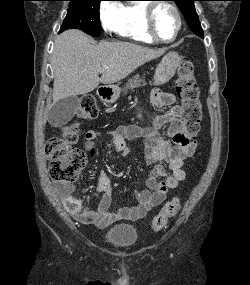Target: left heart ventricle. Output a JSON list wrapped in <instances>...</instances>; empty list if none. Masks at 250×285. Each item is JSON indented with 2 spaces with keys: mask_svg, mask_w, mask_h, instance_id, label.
<instances>
[{
  "mask_svg": "<svg viewBox=\"0 0 250 285\" xmlns=\"http://www.w3.org/2000/svg\"><path fill=\"white\" fill-rule=\"evenodd\" d=\"M155 30L163 39H170L176 33L178 21L175 13L166 6H160L155 14Z\"/></svg>",
  "mask_w": 250,
  "mask_h": 285,
  "instance_id": "obj_1",
  "label": "left heart ventricle"
}]
</instances>
